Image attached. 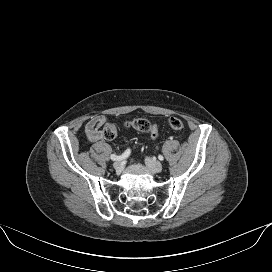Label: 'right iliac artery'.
<instances>
[{
	"instance_id": "right-iliac-artery-1",
	"label": "right iliac artery",
	"mask_w": 272,
	"mask_h": 272,
	"mask_svg": "<svg viewBox=\"0 0 272 272\" xmlns=\"http://www.w3.org/2000/svg\"><path fill=\"white\" fill-rule=\"evenodd\" d=\"M130 149H127L124 153H122L120 156H117V155H115V154H112L111 156H110V158L112 159V160H123V159H125V158H127L129 155H130Z\"/></svg>"
}]
</instances>
